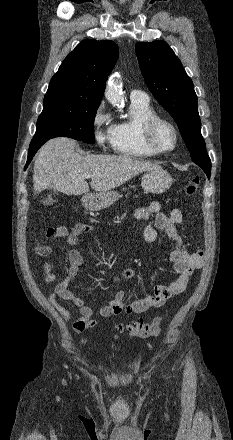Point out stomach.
Returning <instances> with one entry per match:
<instances>
[{"label":"stomach","mask_w":233,"mask_h":440,"mask_svg":"<svg viewBox=\"0 0 233 440\" xmlns=\"http://www.w3.org/2000/svg\"><path fill=\"white\" fill-rule=\"evenodd\" d=\"M171 175L164 169L157 168L148 170L142 176V188L153 194H161L167 191L172 185ZM120 195L116 191L90 193L82 197V205L92 211L101 210L114 204Z\"/></svg>","instance_id":"1"}]
</instances>
